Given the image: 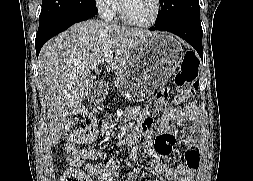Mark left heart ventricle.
Wrapping results in <instances>:
<instances>
[{"label":"left heart ventricle","mask_w":253,"mask_h":181,"mask_svg":"<svg viewBox=\"0 0 253 181\" xmlns=\"http://www.w3.org/2000/svg\"><path fill=\"white\" fill-rule=\"evenodd\" d=\"M127 12L136 21H148L154 12V0H124Z\"/></svg>","instance_id":"left-heart-ventricle-1"}]
</instances>
